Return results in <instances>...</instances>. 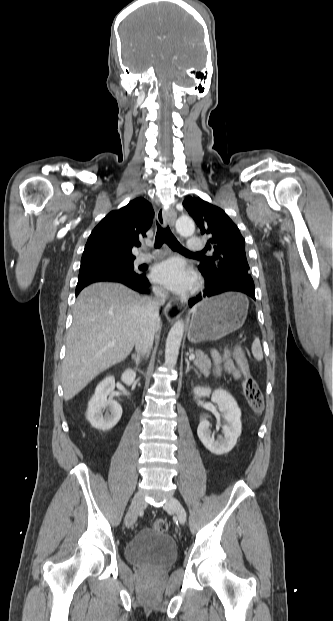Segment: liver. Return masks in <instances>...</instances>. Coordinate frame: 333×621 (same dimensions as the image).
<instances>
[{
	"instance_id": "liver-1",
	"label": "liver",
	"mask_w": 333,
	"mask_h": 621,
	"mask_svg": "<svg viewBox=\"0 0 333 621\" xmlns=\"http://www.w3.org/2000/svg\"><path fill=\"white\" fill-rule=\"evenodd\" d=\"M145 318L144 298L121 284L96 283L81 291L62 365L66 401L131 353Z\"/></svg>"
}]
</instances>
